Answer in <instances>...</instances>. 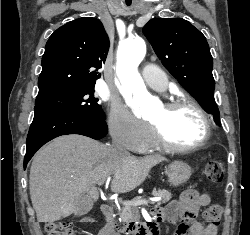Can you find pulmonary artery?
<instances>
[{"mask_svg": "<svg viewBox=\"0 0 250 235\" xmlns=\"http://www.w3.org/2000/svg\"><path fill=\"white\" fill-rule=\"evenodd\" d=\"M145 81L150 88L158 92H163L168 87L167 76L155 67L146 68Z\"/></svg>", "mask_w": 250, "mask_h": 235, "instance_id": "obj_1", "label": "pulmonary artery"}]
</instances>
